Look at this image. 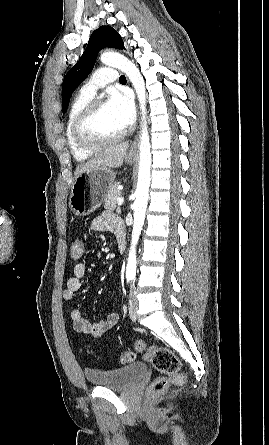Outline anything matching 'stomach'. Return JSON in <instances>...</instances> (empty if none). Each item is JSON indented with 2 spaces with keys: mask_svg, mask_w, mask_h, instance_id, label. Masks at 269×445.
<instances>
[{
  "mask_svg": "<svg viewBox=\"0 0 269 445\" xmlns=\"http://www.w3.org/2000/svg\"><path fill=\"white\" fill-rule=\"evenodd\" d=\"M128 163L134 158L126 157ZM116 178V172L110 168L92 170L77 176L73 182L69 207L74 215L83 217L99 208L105 201Z\"/></svg>",
  "mask_w": 269,
  "mask_h": 445,
  "instance_id": "0dacf381",
  "label": "stomach"
}]
</instances>
